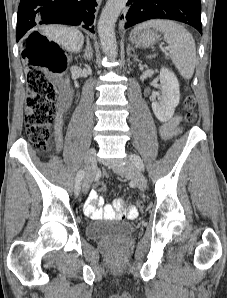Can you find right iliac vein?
<instances>
[{"instance_id":"1","label":"right iliac vein","mask_w":227,"mask_h":298,"mask_svg":"<svg viewBox=\"0 0 227 298\" xmlns=\"http://www.w3.org/2000/svg\"><path fill=\"white\" fill-rule=\"evenodd\" d=\"M95 149H90L85 157V183H84V189L85 191L88 190L90 187L94 170H95Z\"/></svg>"}]
</instances>
